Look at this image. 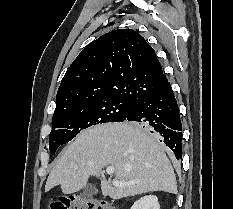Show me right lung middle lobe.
Masks as SVG:
<instances>
[{
	"instance_id": "dd1d6c3e",
	"label": "right lung middle lobe",
	"mask_w": 233,
	"mask_h": 209,
	"mask_svg": "<svg viewBox=\"0 0 233 209\" xmlns=\"http://www.w3.org/2000/svg\"><path fill=\"white\" fill-rule=\"evenodd\" d=\"M133 104L124 99L107 98L82 105L64 114L54 115L53 129L49 135L51 154L54 155L60 145L68 143L83 129L100 123L123 122ZM135 125L143 127L142 124Z\"/></svg>"
}]
</instances>
